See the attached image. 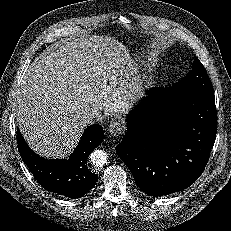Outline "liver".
<instances>
[{"label":"liver","mask_w":231,"mask_h":231,"mask_svg":"<svg viewBox=\"0 0 231 231\" xmlns=\"http://www.w3.org/2000/svg\"><path fill=\"white\" fill-rule=\"evenodd\" d=\"M126 47L107 36L57 43L28 67L16 96V120L29 146L47 158H64L87 124L86 109L126 113L141 95Z\"/></svg>","instance_id":"liver-1"}]
</instances>
